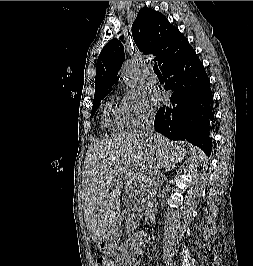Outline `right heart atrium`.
Here are the masks:
<instances>
[{
	"instance_id": "obj_1",
	"label": "right heart atrium",
	"mask_w": 253,
	"mask_h": 266,
	"mask_svg": "<svg viewBox=\"0 0 253 266\" xmlns=\"http://www.w3.org/2000/svg\"><path fill=\"white\" fill-rule=\"evenodd\" d=\"M119 109L127 125L131 126L150 120L154 113L146 95L134 89L123 94Z\"/></svg>"
}]
</instances>
